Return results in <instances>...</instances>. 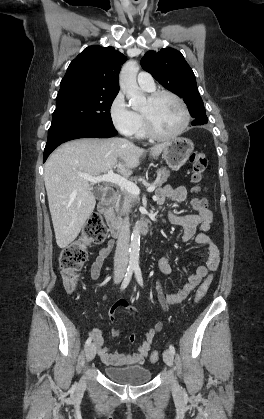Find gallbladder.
Wrapping results in <instances>:
<instances>
[{"instance_id":"bac80fb5","label":"gallbladder","mask_w":264,"mask_h":419,"mask_svg":"<svg viewBox=\"0 0 264 419\" xmlns=\"http://www.w3.org/2000/svg\"><path fill=\"white\" fill-rule=\"evenodd\" d=\"M95 194H96L97 197H100L101 192L98 190V191L95 192Z\"/></svg>"}]
</instances>
